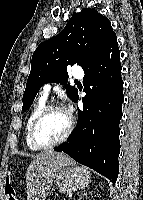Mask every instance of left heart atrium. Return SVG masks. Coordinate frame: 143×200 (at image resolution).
Returning <instances> with one entry per match:
<instances>
[{"mask_svg":"<svg viewBox=\"0 0 143 200\" xmlns=\"http://www.w3.org/2000/svg\"><path fill=\"white\" fill-rule=\"evenodd\" d=\"M66 113L69 115L70 114V109L66 110Z\"/></svg>","mask_w":143,"mask_h":200,"instance_id":"1","label":"left heart atrium"}]
</instances>
